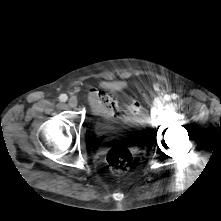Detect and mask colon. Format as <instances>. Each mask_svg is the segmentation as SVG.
<instances>
[{"instance_id":"obj_1","label":"colon","mask_w":221,"mask_h":221,"mask_svg":"<svg viewBox=\"0 0 221 221\" xmlns=\"http://www.w3.org/2000/svg\"><path fill=\"white\" fill-rule=\"evenodd\" d=\"M103 101L108 103V98H103ZM136 109V107H134ZM106 164L108 170L113 176H120L125 173L131 165V152L122 145L111 147L106 154Z\"/></svg>"}]
</instances>
